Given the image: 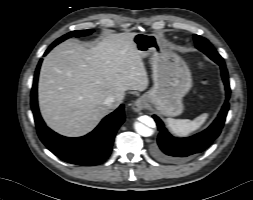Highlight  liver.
Listing matches in <instances>:
<instances>
[{"mask_svg": "<svg viewBox=\"0 0 253 200\" xmlns=\"http://www.w3.org/2000/svg\"><path fill=\"white\" fill-rule=\"evenodd\" d=\"M134 35L108 34L90 49L67 40L44 58L38 99L50 128L66 136L85 135L108 114V96L115 97L116 108L125 91L147 89L148 75Z\"/></svg>", "mask_w": 253, "mask_h": 200, "instance_id": "1", "label": "liver"}]
</instances>
